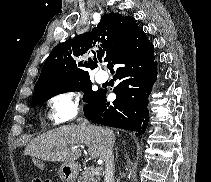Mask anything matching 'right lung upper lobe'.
<instances>
[{
  "label": "right lung upper lobe",
  "mask_w": 211,
  "mask_h": 182,
  "mask_svg": "<svg viewBox=\"0 0 211 182\" xmlns=\"http://www.w3.org/2000/svg\"><path fill=\"white\" fill-rule=\"evenodd\" d=\"M141 32L131 16L123 17L118 13L103 15L92 32L78 35L54 47L43 65L34 93L50 85L89 76L102 57H105L110 67L117 50ZM96 44H99L97 58L96 55L93 58L86 57L91 52L95 54Z\"/></svg>",
  "instance_id": "right-lung-upper-lobe-1"
}]
</instances>
